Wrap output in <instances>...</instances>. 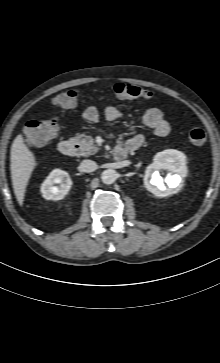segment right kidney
<instances>
[{"label": "right kidney", "mask_w": 220, "mask_h": 363, "mask_svg": "<svg viewBox=\"0 0 220 363\" xmlns=\"http://www.w3.org/2000/svg\"><path fill=\"white\" fill-rule=\"evenodd\" d=\"M72 180L63 170H53L41 185L42 196L47 200H60L69 192Z\"/></svg>", "instance_id": "ca27d5eb"}]
</instances>
